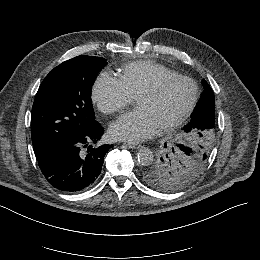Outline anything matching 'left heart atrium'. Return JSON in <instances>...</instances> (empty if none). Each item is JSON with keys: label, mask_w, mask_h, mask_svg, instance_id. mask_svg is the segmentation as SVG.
Returning a JSON list of instances; mask_svg holds the SVG:
<instances>
[{"label": "left heart atrium", "mask_w": 260, "mask_h": 260, "mask_svg": "<svg viewBox=\"0 0 260 260\" xmlns=\"http://www.w3.org/2000/svg\"><path fill=\"white\" fill-rule=\"evenodd\" d=\"M156 129L148 112L143 108L121 115L110 126L112 137L125 142L136 143L150 137Z\"/></svg>", "instance_id": "left-heart-atrium-1"}]
</instances>
